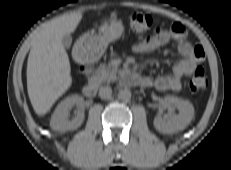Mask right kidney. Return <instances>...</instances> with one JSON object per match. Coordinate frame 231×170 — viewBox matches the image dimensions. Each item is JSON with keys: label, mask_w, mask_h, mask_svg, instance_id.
<instances>
[{"label": "right kidney", "mask_w": 231, "mask_h": 170, "mask_svg": "<svg viewBox=\"0 0 231 170\" xmlns=\"http://www.w3.org/2000/svg\"><path fill=\"white\" fill-rule=\"evenodd\" d=\"M76 107V116L72 120H68L69 111ZM84 120V99L78 95H72L60 102L55 109L50 127L53 130L66 132L78 128Z\"/></svg>", "instance_id": "obj_1"}]
</instances>
